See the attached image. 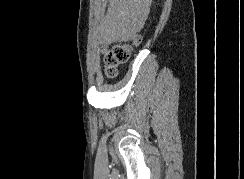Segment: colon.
I'll return each mask as SVG.
<instances>
[{"instance_id": "colon-1", "label": "colon", "mask_w": 244, "mask_h": 179, "mask_svg": "<svg viewBox=\"0 0 244 179\" xmlns=\"http://www.w3.org/2000/svg\"><path fill=\"white\" fill-rule=\"evenodd\" d=\"M129 48L124 44H114L104 51L105 73L109 78L117 74V67L127 62Z\"/></svg>"}]
</instances>
